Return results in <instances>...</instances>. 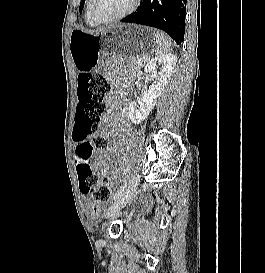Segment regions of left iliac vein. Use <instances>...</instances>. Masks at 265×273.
Here are the masks:
<instances>
[{
	"label": "left iliac vein",
	"instance_id": "obj_1",
	"mask_svg": "<svg viewBox=\"0 0 265 273\" xmlns=\"http://www.w3.org/2000/svg\"><path fill=\"white\" fill-rule=\"evenodd\" d=\"M139 180H140V175L136 173L131 179L128 187L123 192V194L118 199H116L115 202L109 207L108 217L115 215L123 207H125L128 204V202L131 200V198L133 197L136 191V188L139 184ZM98 244L101 245L103 244V242L99 241Z\"/></svg>",
	"mask_w": 265,
	"mask_h": 273
}]
</instances>
